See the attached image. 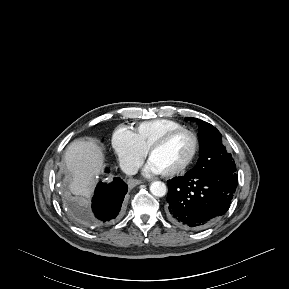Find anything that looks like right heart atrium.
<instances>
[{"instance_id":"1","label":"right heart atrium","mask_w":289,"mask_h":289,"mask_svg":"<svg viewBox=\"0 0 289 289\" xmlns=\"http://www.w3.org/2000/svg\"><path fill=\"white\" fill-rule=\"evenodd\" d=\"M112 145L121 166L127 170H134L141 162L145 152L139 147L132 131L117 130L112 137Z\"/></svg>"}]
</instances>
